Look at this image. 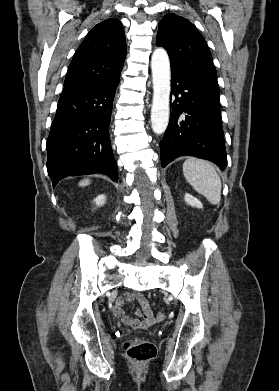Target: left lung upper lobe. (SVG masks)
I'll use <instances>...</instances> for the list:
<instances>
[{"label":"left lung upper lobe","instance_id":"left-lung-upper-lobe-1","mask_svg":"<svg viewBox=\"0 0 279 391\" xmlns=\"http://www.w3.org/2000/svg\"><path fill=\"white\" fill-rule=\"evenodd\" d=\"M156 44L167 50L171 71L192 78L219 94L211 52L189 20L175 14L163 17L159 22Z\"/></svg>","mask_w":279,"mask_h":391}]
</instances>
